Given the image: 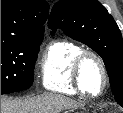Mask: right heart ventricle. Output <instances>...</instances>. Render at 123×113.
<instances>
[{"label":"right heart ventricle","mask_w":123,"mask_h":113,"mask_svg":"<svg viewBox=\"0 0 123 113\" xmlns=\"http://www.w3.org/2000/svg\"><path fill=\"white\" fill-rule=\"evenodd\" d=\"M82 50L79 45L65 39L51 41L41 60L42 86L52 92L80 93L73 80L72 66Z\"/></svg>","instance_id":"obj_1"}]
</instances>
